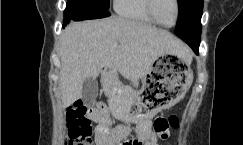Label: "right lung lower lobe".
<instances>
[{
    "label": "right lung lower lobe",
    "mask_w": 243,
    "mask_h": 145,
    "mask_svg": "<svg viewBox=\"0 0 243 145\" xmlns=\"http://www.w3.org/2000/svg\"><path fill=\"white\" fill-rule=\"evenodd\" d=\"M110 16V13L106 10L95 7L88 3H68L64 11L63 26L70 21H81L88 19H98Z\"/></svg>",
    "instance_id": "right-lung-lower-lobe-1"
}]
</instances>
